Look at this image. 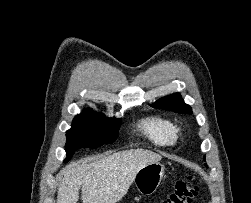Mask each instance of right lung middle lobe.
<instances>
[{"instance_id":"1","label":"right lung middle lobe","mask_w":251,"mask_h":203,"mask_svg":"<svg viewBox=\"0 0 251 203\" xmlns=\"http://www.w3.org/2000/svg\"><path fill=\"white\" fill-rule=\"evenodd\" d=\"M120 125V119L106 118L91 109L78 114L71 128L66 132L67 157L64 162L69 161L79 148H96L104 143L114 142Z\"/></svg>"}]
</instances>
